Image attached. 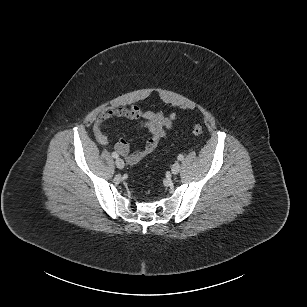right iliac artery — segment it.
Here are the masks:
<instances>
[{
    "label": "right iliac artery",
    "instance_id": "82829eb1",
    "mask_svg": "<svg viewBox=\"0 0 307 307\" xmlns=\"http://www.w3.org/2000/svg\"><path fill=\"white\" fill-rule=\"evenodd\" d=\"M112 157H113V158H118L119 155H118L116 152H112Z\"/></svg>",
    "mask_w": 307,
    "mask_h": 307
}]
</instances>
